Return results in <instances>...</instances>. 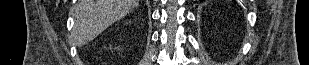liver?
<instances>
[{
    "mask_svg": "<svg viewBox=\"0 0 309 65\" xmlns=\"http://www.w3.org/2000/svg\"><path fill=\"white\" fill-rule=\"evenodd\" d=\"M138 3L139 0H79L75 6V44L89 43Z\"/></svg>",
    "mask_w": 309,
    "mask_h": 65,
    "instance_id": "liver-1",
    "label": "liver"
}]
</instances>
